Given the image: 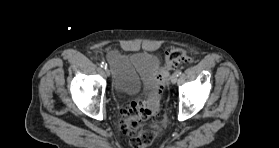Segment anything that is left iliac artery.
Returning <instances> with one entry per match:
<instances>
[{
	"mask_svg": "<svg viewBox=\"0 0 279 148\" xmlns=\"http://www.w3.org/2000/svg\"><path fill=\"white\" fill-rule=\"evenodd\" d=\"M181 73H182V72H181L180 70H177V71H176L177 76H180Z\"/></svg>",
	"mask_w": 279,
	"mask_h": 148,
	"instance_id": "left-iliac-artery-1",
	"label": "left iliac artery"
}]
</instances>
